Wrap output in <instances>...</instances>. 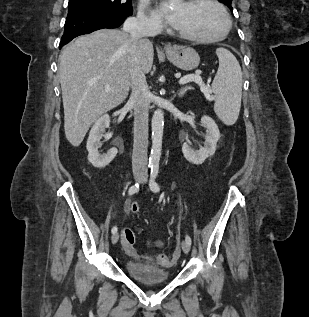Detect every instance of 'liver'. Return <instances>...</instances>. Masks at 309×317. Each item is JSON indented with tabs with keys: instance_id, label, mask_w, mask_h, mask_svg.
Instances as JSON below:
<instances>
[{
	"instance_id": "obj_1",
	"label": "liver",
	"mask_w": 309,
	"mask_h": 317,
	"mask_svg": "<svg viewBox=\"0 0 309 317\" xmlns=\"http://www.w3.org/2000/svg\"><path fill=\"white\" fill-rule=\"evenodd\" d=\"M144 73L153 65L154 49L148 39L132 41L117 29H102L78 37L60 54L59 79L67 140L79 146L90 126L128 96L132 57ZM106 88L110 91L106 92Z\"/></svg>"
}]
</instances>
